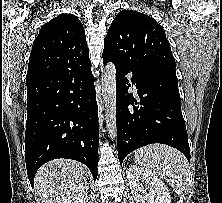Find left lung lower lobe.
<instances>
[{
	"instance_id": "0a47b994",
	"label": "left lung lower lobe",
	"mask_w": 222,
	"mask_h": 203,
	"mask_svg": "<svg viewBox=\"0 0 222 203\" xmlns=\"http://www.w3.org/2000/svg\"><path fill=\"white\" fill-rule=\"evenodd\" d=\"M116 68V123L118 158L151 143H162L181 151L190 161V148L177 77L161 72H141L115 63L103 56V63ZM132 72L139 100L128 94L126 75Z\"/></svg>"
}]
</instances>
